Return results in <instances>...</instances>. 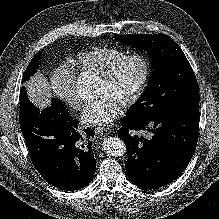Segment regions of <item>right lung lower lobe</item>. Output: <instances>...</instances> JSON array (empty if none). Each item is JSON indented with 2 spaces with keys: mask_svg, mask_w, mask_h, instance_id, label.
Here are the masks:
<instances>
[{
  "mask_svg": "<svg viewBox=\"0 0 219 219\" xmlns=\"http://www.w3.org/2000/svg\"><path fill=\"white\" fill-rule=\"evenodd\" d=\"M20 93L19 123L35 169L62 190L87 186L96 167L91 151L93 130L81 133L66 110L51 105L40 111L29 101L24 86Z\"/></svg>",
  "mask_w": 219,
  "mask_h": 219,
  "instance_id": "obj_1",
  "label": "right lung lower lobe"
}]
</instances>
